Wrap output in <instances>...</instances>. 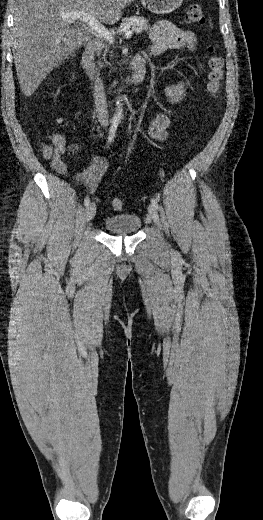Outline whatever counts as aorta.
Here are the masks:
<instances>
[{
    "label": "aorta",
    "mask_w": 263,
    "mask_h": 520,
    "mask_svg": "<svg viewBox=\"0 0 263 520\" xmlns=\"http://www.w3.org/2000/svg\"><path fill=\"white\" fill-rule=\"evenodd\" d=\"M122 101H123V98L119 97L117 102H116V106L117 107H116V112H115V116H114V118L116 120H120V119L123 118V103H122Z\"/></svg>",
    "instance_id": "1"
}]
</instances>
